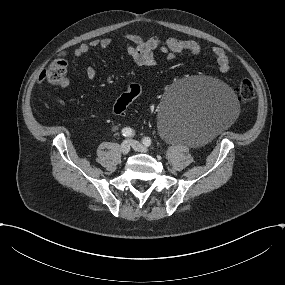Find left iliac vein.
<instances>
[{
	"instance_id": "4c4485c4",
	"label": "left iliac vein",
	"mask_w": 285,
	"mask_h": 285,
	"mask_svg": "<svg viewBox=\"0 0 285 285\" xmlns=\"http://www.w3.org/2000/svg\"><path fill=\"white\" fill-rule=\"evenodd\" d=\"M129 143L131 145V147L133 149H135L136 151H140V152H149V150L144 147L142 144H140L138 141L136 140H129Z\"/></svg>"
}]
</instances>
